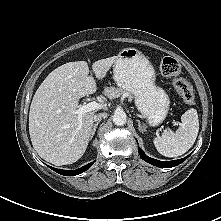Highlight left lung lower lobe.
I'll list each match as a JSON object with an SVG mask.
<instances>
[{"label":"left lung lower lobe","mask_w":221,"mask_h":221,"mask_svg":"<svg viewBox=\"0 0 221 221\" xmlns=\"http://www.w3.org/2000/svg\"><path fill=\"white\" fill-rule=\"evenodd\" d=\"M139 154H140L141 158L144 161H146V162H148V163H150V164H152L154 166L162 167V168H169V167L177 166V165L181 164L183 161H185L189 157V155H188V156H186V157H184L182 159H178V160L159 161V160H156V159H153V158H150V157L146 156L144 151L141 150L140 148H139Z\"/></svg>","instance_id":"0a47b994"}]
</instances>
